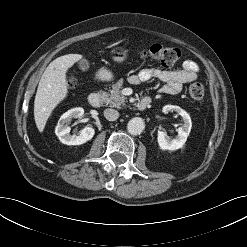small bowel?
<instances>
[{
  "label": "small bowel",
  "mask_w": 247,
  "mask_h": 247,
  "mask_svg": "<svg viewBox=\"0 0 247 247\" xmlns=\"http://www.w3.org/2000/svg\"><path fill=\"white\" fill-rule=\"evenodd\" d=\"M199 77V67L195 61L186 60L176 70H162L158 68H144L139 73L131 75L130 83L137 85L141 82L156 78L163 82L160 91L164 94L179 93L184 84L193 82Z\"/></svg>",
  "instance_id": "obj_1"
}]
</instances>
